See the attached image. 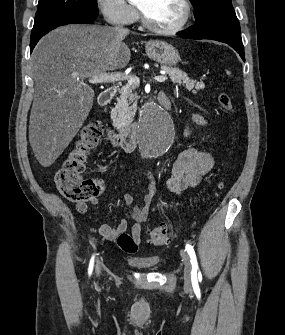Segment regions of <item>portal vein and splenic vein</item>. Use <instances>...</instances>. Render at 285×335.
<instances>
[{
  "instance_id": "portal-vein-and-splenic-vein-1",
  "label": "portal vein and splenic vein",
  "mask_w": 285,
  "mask_h": 335,
  "mask_svg": "<svg viewBox=\"0 0 285 335\" xmlns=\"http://www.w3.org/2000/svg\"><path fill=\"white\" fill-rule=\"evenodd\" d=\"M162 76H155L153 80L156 82H165L167 80L166 72H160ZM121 80H127L128 84H138L139 78H135V76H125V74H121V72H117V74H99V76H91L88 82L89 84H105V82H121Z\"/></svg>"
}]
</instances>
